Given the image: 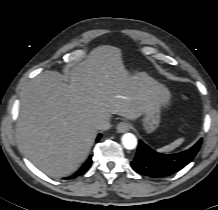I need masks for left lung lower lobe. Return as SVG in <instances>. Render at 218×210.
I'll return each instance as SVG.
<instances>
[{"mask_svg":"<svg viewBox=\"0 0 218 210\" xmlns=\"http://www.w3.org/2000/svg\"><path fill=\"white\" fill-rule=\"evenodd\" d=\"M202 143L200 139L190 149L171 155L157 153L139 140L138 149L131 167L139 174L150 177H166L179 171L192 161Z\"/></svg>","mask_w":218,"mask_h":210,"instance_id":"left-lung-lower-lobe-1","label":"left lung lower lobe"}]
</instances>
